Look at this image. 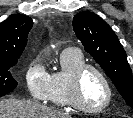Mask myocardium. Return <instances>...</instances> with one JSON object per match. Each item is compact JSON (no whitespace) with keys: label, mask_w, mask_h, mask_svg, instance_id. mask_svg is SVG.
<instances>
[{"label":"myocardium","mask_w":133,"mask_h":118,"mask_svg":"<svg viewBox=\"0 0 133 118\" xmlns=\"http://www.w3.org/2000/svg\"><path fill=\"white\" fill-rule=\"evenodd\" d=\"M92 70L96 72L103 80L107 89V99L105 103L99 107L93 108L87 106L81 97V82L84 74ZM114 92L111 81L106 73L94 64L84 63L79 66L71 75L69 80V99L74 108L79 111L89 113V114H99L104 112L111 105L113 100Z\"/></svg>","instance_id":"obj_1"}]
</instances>
